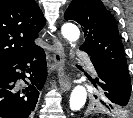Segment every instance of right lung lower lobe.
I'll return each mask as SVG.
<instances>
[{
    "mask_svg": "<svg viewBox=\"0 0 133 118\" xmlns=\"http://www.w3.org/2000/svg\"><path fill=\"white\" fill-rule=\"evenodd\" d=\"M25 73L30 77L25 80ZM47 77L45 52L41 47L24 53L0 67V117L28 118L35 109ZM22 79L26 85L17 81Z\"/></svg>",
    "mask_w": 133,
    "mask_h": 118,
    "instance_id": "98d812e1",
    "label": "right lung lower lobe"
}]
</instances>
